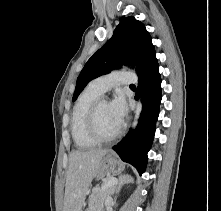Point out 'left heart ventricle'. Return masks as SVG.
I'll use <instances>...</instances> for the list:
<instances>
[{
    "mask_svg": "<svg viewBox=\"0 0 221 211\" xmlns=\"http://www.w3.org/2000/svg\"><path fill=\"white\" fill-rule=\"evenodd\" d=\"M97 124L100 133L103 136H110L119 130V126L116 123L107 101L103 102L98 110Z\"/></svg>",
    "mask_w": 221,
    "mask_h": 211,
    "instance_id": "b2bd125f",
    "label": "left heart ventricle"
}]
</instances>
